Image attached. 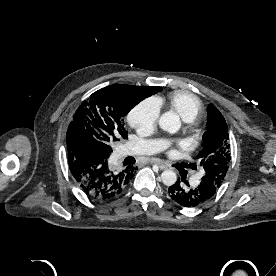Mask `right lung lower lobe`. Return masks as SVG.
<instances>
[{
  "instance_id": "1",
  "label": "right lung lower lobe",
  "mask_w": 276,
  "mask_h": 276,
  "mask_svg": "<svg viewBox=\"0 0 276 276\" xmlns=\"http://www.w3.org/2000/svg\"><path fill=\"white\" fill-rule=\"evenodd\" d=\"M68 149L70 172L81 190L93 200H108L120 194L136 173L137 167L113 170L108 157L86 143Z\"/></svg>"
}]
</instances>
